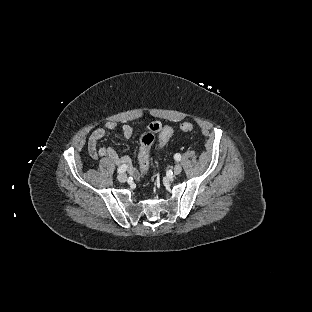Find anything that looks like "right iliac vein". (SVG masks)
<instances>
[{"label": "right iliac vein", "mask_w": 312, "mask_h": 312, "mask_svg": "<svg viewBox=\"0 0 312 312\" xmlns=\"http://www.w3.org/2000/svg\"><path fill=\"white\" fill-rule=\"evenodd\" d=\"M119 182H125L127 180V176L124 173H121L117 176Z\"/></svg>", "instance_id": "obj_1"}]
</instances>
